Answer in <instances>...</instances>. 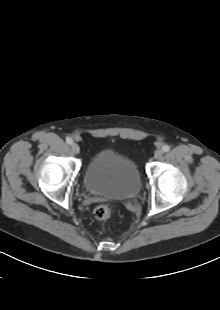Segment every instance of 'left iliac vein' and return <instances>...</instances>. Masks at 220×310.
Wrapping results in <instances>:
<instances>
[{"instance_id": "obj_1", "label": "left iliac vein", "mask_w": 220, "mask_h": 310, "mask_svg": "<svg viewBox=\"0 0 220 310\" xmlns=\"http://www.w3.org/2000/svg\"><path fill=\"white\" fill-rule=\"evenodd\" d=\"M162 155H163V151L160 150V149H158V150H156L155 153H154V158H155V159H160V158L162 157Z\"/></svg>"}]
</instances>
